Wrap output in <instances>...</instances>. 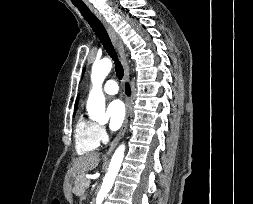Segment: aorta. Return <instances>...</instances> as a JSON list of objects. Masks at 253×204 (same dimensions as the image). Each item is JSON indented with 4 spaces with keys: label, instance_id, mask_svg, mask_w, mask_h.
Segmentation results:
<instances>
[{
    "label": "aorta",
    "instance_id": "obj_1",
    "mask_svg": "<svg viewBox=\"0 0 253 204\" xmlns=\"http://www.w3.org/2000/svg\"><path fill=\"white\" fill-rule=\"evenodd\" d=\"M112 68V62L108 58L96 61L92 66L91 82L92 90L87 100V111L92 120L98 122L108 121L105 114V97L102 91V84ZM125 152V145H120L112 156L109 169L104 177L100 191L97 194L96 204H102L107 193L112 188L117 173L121 167Z\"/></svg>",
    "mask_w": 253,
    "mask_h": 204
}]
</instances>
